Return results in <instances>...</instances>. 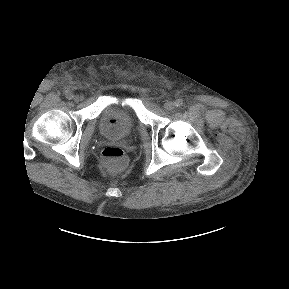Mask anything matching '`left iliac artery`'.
Returning a JSON list of instances; mask_svg holds the SVG:
<instances>
[{"label": "left iliac artery", "instance_id": "obj_1", "mask_svg": "<svg viewBox=\"0 0 289 289\" xmlns=\"http://www.w3.org/2000/svg\"><path fill=\"white\" fill-rule=\"evenodd\" d=\"M182 105H183L182 99H177V100L175 101V106H176V107H181Z\"/></svg>", "mask_w": 289, "mask_h": 289}]
</instances>
